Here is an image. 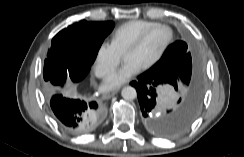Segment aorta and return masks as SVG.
Wrapping results in <instances>:
<instances>
[{
    "label": "aorta",
    "instance_id": "aorta-1",
    "mask_svg": "<svg viewBox=\"0 0 244 157\" xmlns=\"http://www.w3.org/2000/svg\"><path fill=\"white\" fill-rule=\"evenodd\" d=\"M121 95L125 100H134L137 97V92L134 87L126 86L122 89Z\"/></svg>",
    "mask_w": 244,
    "mask_h": 157
}]
</instances>
